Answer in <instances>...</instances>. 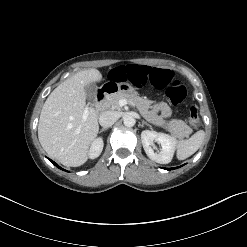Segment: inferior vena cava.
<instances>
[{
  "label": "inferior vena cava",
  "instance_id": "inferior-vena-cava-1",
  "mask_svg": "<svg viewBox=\"0 0 247 247\" xmlns=\"http://www.w3.org/2000/svg\"><path fill=\"white\" fill-rule=\"evenodd\" d=\"M118 117L117 114L113 111H106L103 112L99 117V123L104 128H108L112 126L116 121Z\"/></svg>",
  "mask_w": 247,
  "mask_h": 247
}]
</instances>
